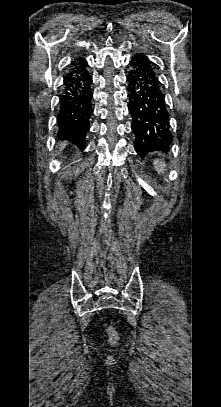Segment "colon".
<instances>
[{
  "label": "colon",
  "mask_w": 221,
  "mask_h": 407,
  "mask_svg": "<svg viewBox=\"0 0 221 407\" xmlns=\"http://www.w3.org/2000/svg\"><path fill=\"white\" fill-rule=\"evenodd\" d=\"M106 330H107L111 340H113V341L117 340L118 334H117L116 330L113 327L107 326Z\"/></svg>",
  "instance_id": "5ec220e1"
}]
</instances>
